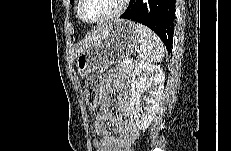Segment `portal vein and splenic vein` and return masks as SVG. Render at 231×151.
Wrapping results in <instances>:
<instances>
[{"mask_svg": "<svg viewBox=\"0 0 231 151\" xmlns=\"http://www.w3.org/2000/svg\"><path fill=\"white\" fill-rule=\"evenodd\" d=\"M124 62L125 63H132V58L127 57V58L124 59Z\"/></svg>", "mask_w": 231, "mask_h": 151, "instance_id": "1", "label": "portal vein and splenic vein"}]
</instances>
